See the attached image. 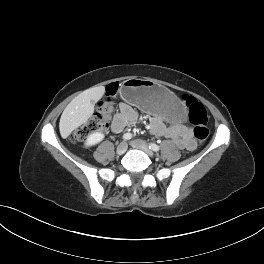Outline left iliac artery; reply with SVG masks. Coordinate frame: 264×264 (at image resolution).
I'll return each instance as SVG.
<instances>
[{"instance_id":"left-iliac-artery-1","label":"left iliac artery","mask_w":264,"mask_h":264,"mask_svg":"<svg viewBox=\"0 0 264 264\" xmlns=\"http://www.w3.org/2000/svg\"><path fill=\"white\" fill-rule=\"evenodd\" d=\"M149 149H151L153 151H159L160 147L157 144H155V143H150L149 144Z\"/></svg>"}]
</instances>
